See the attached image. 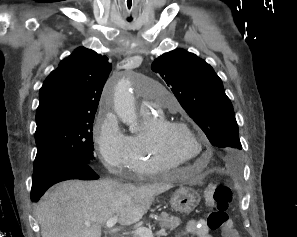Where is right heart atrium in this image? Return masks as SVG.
Segmentation results:
<instances>
[{
  "label": "right heart atrium",
  "instance_id": "obj_1",
  "mask_svg": "<svg viewBox=\"0 0 297 237\" xmlns=\"http://www.w3.org/2000/svg\"><path fill=\"white\" fill-rule=\"evenodd\" d=\"M96 150L112 172H120L129 166V136L123 133L116 115L103 109L95 124Z\"/></svg>",
  "mask_w": 297,
  "mask_h": 237
}]
</instances>
